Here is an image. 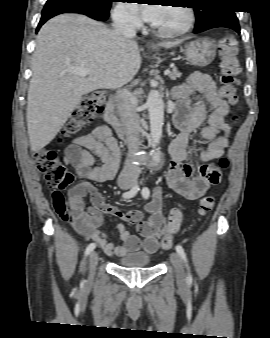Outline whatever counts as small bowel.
Instances as JSON below:
<instances>
[{"label": "small bowel", "mask_w": 270, "mask_h": 338, "mask_svg": "<svg viewBox=\"0 0 270 338\" xmlns=\"http://www.w3.org/2000/svg\"><path fill=\"white\" fill-rule=\"evenodd\" d=\"M173 97L185 110H179L174 119L180 133L170 147L173 161L167 171V184L182 197L197 200L206 195L210 186L217 184L220 179V173L213 171L209 164L223 156L228 148L230 126L225 117L230 106L220 96L212 78L198 72L192 73L184 83L178 85ZM205 122L206 125H203ZM199 129L202 145L197 149V158L201 165L194 168L188 163L190 153L187 143ZM64 160L83 179L68 190L67 197H60L63 213L65 216L69 213L67 218L76 231L98 244L108 256L141 250L150 254L156 252L157 240L164 224L160 189L154 191L153 201L145 205L144 210L149 218L143 220L139 210L121 211L107 203L91 183L110 181L117 172L120 149L111 128L102 124L91 133L77 137L68 145ZM87 197L90 198L92 207L86 206ZM98 211L116 215L125 222L136 223L144 242L131 234L124 224H118L116 230L122 245L116 246L100 230L103 219Z\"/></svg>", "instance_id": "obj_1"}]
</instances>
